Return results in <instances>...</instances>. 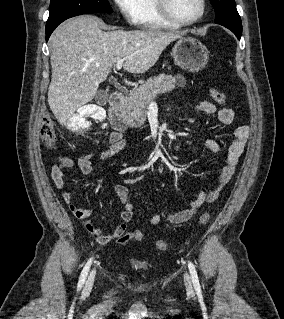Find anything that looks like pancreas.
<instances>
[{
  "mask_svg": "<svg viewBox=\"0 0 284 319\" xmlns=\"http://www.w3.org/2000/svg\"><path fill=\"white\" fill-rule=\"evenodd\" d=\"M177 82L184 84L180 75L160 74L148 79L143 85L130 91L129 97L122 107L123 117L134 128L141 127L146 121L148 107L157 95L175 89Z\"/></svg>",
  "mask_w": 284,
  "mask_h": 319,
  "instance_id": "1",
  "label": "pancreas"
}]
</instances>
